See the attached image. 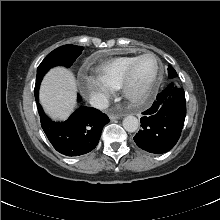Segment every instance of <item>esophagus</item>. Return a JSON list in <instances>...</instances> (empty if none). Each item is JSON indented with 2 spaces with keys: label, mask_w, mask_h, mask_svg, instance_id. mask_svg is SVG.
<instances>
[{
  "label": "esophagus",
  "mask_w": 220,
  "mask_h": 220,
  "mask_svg": "<svg viewBox=\"0 0 220 220\" xmlns=\"http://www.w3.org/2000/svg\"><path fill=\"white\" fill-rule=\"evenodd\" d=\"M121 117H122V115L113 114V113H110V114H109V118H110L111 120H116V119H119V118H121Z\"/></svg>",
  "instance_id": "34e87169"
}]
</instances>
